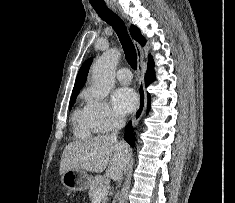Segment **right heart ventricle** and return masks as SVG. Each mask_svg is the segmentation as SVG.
<instances>
[{"mask_svg": "<svg viewBox=\"0 0 235 203\" xmlns=\"http://www.w3.org/2000/svg\"><path fill=\"white\" fill-rule=\"evenodd\" d=\"M86 97V92H83L81 98ZM73 123L75 132L79 136L89 137L98 132L90 119L86 106L84 108H79L74 112Z\"/></svg>", "mask_w": 235, "mask_h": 203, "instance_id": "right-heart-ventricle-1", "label": "right heart ventricle"}]
</instances>
